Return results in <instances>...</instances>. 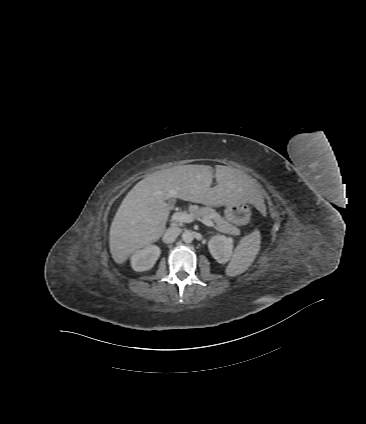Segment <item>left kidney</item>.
Returning <instances> with one entry per match:
<instances>
[{
    "label": "left kidney",
    "mask_w": 366,
    "mask_h": 424,
    "mask_svg": "<svg viewBox=\"0 0 366 424\" xmlns=\"http://www.w3.org/2000/svg\"><path fill=\"white\" fill-rule=\"evenodd\" d=\"M208 248L218 263L225 264L233 252V239L223 235L213 236L208 242Z\"/></svg>",
    "instance_id": "5707ae66"
}]
</instances>
